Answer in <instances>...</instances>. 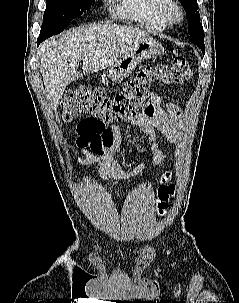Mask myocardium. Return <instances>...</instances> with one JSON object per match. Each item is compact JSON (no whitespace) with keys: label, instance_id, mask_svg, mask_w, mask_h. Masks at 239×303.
Instances as JSON below:
<instances>
[{"label":"myocardium","instance_id":"1","mask_svg":"<svg viewBox=\"0 0 239 303\" xmlns=\"http://www.w3.org/2000/svg\"><path fill=\"white\" fill-rule=\"evenodd\" d=\"M163 6V14L170 23H179L184 18V10L180 3L175 0H166Z\"/></svg>","mask_w":239,"mask_h":303}]
</instances>
